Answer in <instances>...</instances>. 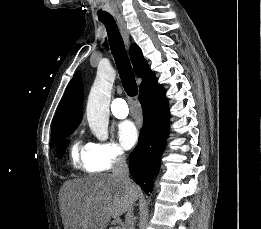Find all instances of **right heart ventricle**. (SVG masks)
Listing matches in <instances>:
<instances>
[{"instance_id":"1","label":"right heart ventricle","mask_w":261,"mask_h":229,"mask_svg":"<svg viewBox=\"0 0 261 229\" xmlns=\"http://www.w3.org/2000/svg\"><path fill=\"white\" fill-rule=\"evenodd\" d=\"M90 144L81 145L75 142L70 150L72 164L76 168L89 169Z\"/></svg>"}]
</instances>
